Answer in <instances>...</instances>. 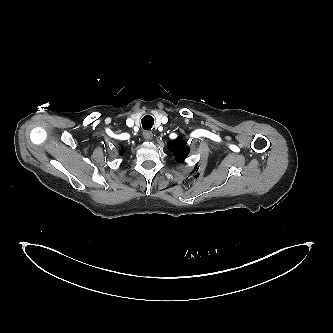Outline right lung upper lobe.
I'll return each mask as SVG.
<instances>
[{"label": "right lung upper lobe", "instance_id": "1", "mask_svg": "<svg viewBox=\"0 0 333 333\" xmlns=\"http://www.w3.org/2000/svg\"><path fill=\"white\" fill-rule=\"evenodd\" d=\"M124 153V149L122 148L121 151H120V154H123Z\"/></svg>", "mask_w": 333, "mask_h": 333}]
</instances>
